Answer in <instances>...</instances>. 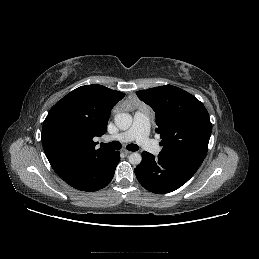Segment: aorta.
Returning <instances> with one entry per match:
<instances>
[{"label":"aorta","mask_w":259,"mask_h":259,"mask_svg":"<svg viewBox=\"0 0 259 259\" xmlns=\"http://www.w3.org/2000/svg\"><path fill=\"white\" fill-rule=\"evenodd\" d=\"M115 124L120 130H127L132 125V116L129 113H119L115 116ZM142 157L138 152H133L129 156V162L132 165L141 163Z\"/></svg>","instance_id":"762f6f07"}]
</instances>
